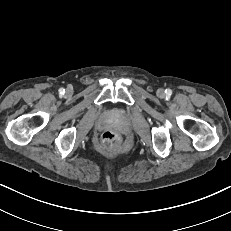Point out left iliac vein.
<instances>
[{
  "label": "left iliac vein",
  "mask_w": 231,
  "mask_h": 231,
  "mask_svg": "<svg viewBox=\"0 0 231 231\" xmlns=\"http://www.w3.org/2000/svg\"><path fill=\"white\" fill-rule=\"evenodd\" d=\"M156 93H157V96H159V97L165 96V92L162 88L158 89Z\"/></svg>",
  "instance_id": "4c4485c4"
}]
</instances>
